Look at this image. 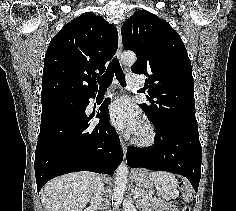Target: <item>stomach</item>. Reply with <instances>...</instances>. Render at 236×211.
<instances>
[{
	"label": "stomach",
	"mask_w": 236,
	"mask_h": 211,
	"mask_svg": "<svg viewBox=\"0 0 236 211\" xmlns=\"http://www.w3.org/2000/svg\"><path fill=\"white\" fill-rule=\"evenodd\" d=\"M132 180L139 189L145 190L146 192L152 188V181L150 180L149 174L146 170H134L132 172Z\"/></svg>",
	"instance_id": "1"
}]
</instances>
